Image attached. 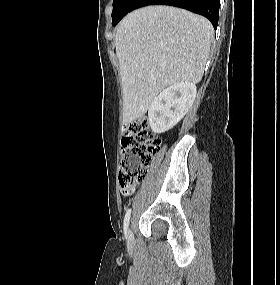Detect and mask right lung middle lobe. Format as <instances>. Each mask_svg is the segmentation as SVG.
<instances>
[{
    "label": "right lung middle lobe",
    "mask_w": 280,
    "mask_h": 285,
    "mask_svg": "<svg viewBox=\"0 0 280 285\" xmlns=\"http://www.w3.org/2000/svg\"><path fill=\"white\" fill-rule=\"evenodd\" d=\"M137 0H114L112 11V25L115 26L128 12L133 10Z\"/></svg>",
    "instance_id": "obj_1"
}]
</instances>
